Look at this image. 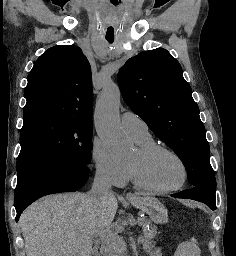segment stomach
Returning a JSON list of instances; mask_svg holds the SVG:
<instances>
[{"label": "stomach", "instance_id": "0dacf381", "mask_svg": "<svg viewBox=\"0 0 236 256\" xmlns=\"http://www.w3.org/2000/svg\"><path fill=\"white\" fill-rule=\"evenodd\" d=\"M136 208L149 215L155 223H165L168 219L167 209L161 202L153 197L144 196L131 201Z\"/></svg>", "mask_w": 236, "mask_h": 256}]
</instances>
